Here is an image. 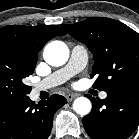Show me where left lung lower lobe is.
Returning a JSON list of instances; mask_svg holds the SVG:
<instances>
[{
  "mask_svg": "<svg viewBox=\"0 0 139 139\" xmlns=\"http://www.w3.org/2000/svg\"><path fill=\"white\" fill-rule=\"evenodd\" d=\"M83 118V125L92 139H126L139 125V81L129 83L96 100Z\"/></svg>",
  "mask_w": 139,
  "mask_h": 139,
  "instance_id": "1",
  "label": "left lung lower lobe"
}]
</instances>
